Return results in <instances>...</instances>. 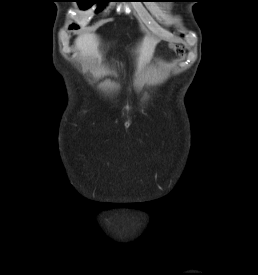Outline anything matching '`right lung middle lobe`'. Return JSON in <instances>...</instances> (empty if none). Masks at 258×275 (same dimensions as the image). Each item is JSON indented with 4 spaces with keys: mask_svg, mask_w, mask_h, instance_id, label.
<instances>
[{
    "mask_svg": "<svg viewBox=\"0 0 258 275\" xmlns=\"http://www.w3.org/2000/svg\"><path fill=\"white\" fill-rule=\"evenodd\" d=\"M109 0H77V3L79 4V7L83 10L88 9L93 3L99 2V3H105L108 2ZM97 10H101V8H97ZM77 29L78 26H71V29Z\"/></svg>",
    "mask_w": 258,
    "mask_h": 275,
    "instance_id": "dd1d6c3e",
    "label": "right lung middle lobe"
}]
</instances>
